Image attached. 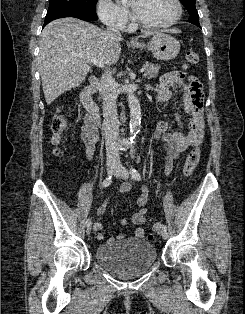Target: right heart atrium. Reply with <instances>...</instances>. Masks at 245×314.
Wrapping results in <instances>:
<instances>
[{"instance_id": "1", "label": "right heart atrium", "mask_w": 245, "mask_h": 314, "mask_svg": "<svg viewBox=\"0 0 245 314\" xmlns=\"http://www.w3.org/2000/svg\"><path fill=\"white\" fill-rule=\"evenodd\" d=\"M98 14L106 25L117 29L125 28L130 19L129 10L117 5L112 0H99Z\"/></svg>"}]
</instances>
